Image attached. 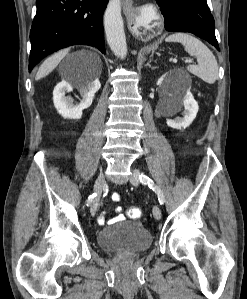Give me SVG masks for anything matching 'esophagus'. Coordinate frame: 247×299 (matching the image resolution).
I'll use <instances>...</instances> for the list:
<instances>
[{"instance_id":"esophagus-1","label":"esophagus","mask_w":247,"mask_h":299,"mask_svg":"<svg viewBox=\"0 0 247 299\" xmlns=\"http://www.w3.org/2000/svg\"><path fill=\"white\" fill-rule=\"evenodd\" d=\"M125 9H128L132 5V0H122Z\"/></svg>"}]
</instances>
